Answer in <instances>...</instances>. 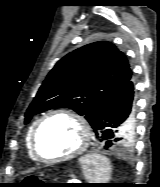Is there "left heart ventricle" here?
<instances>
[{
	"mask_svg": "<svg viewBox=\"0 0 160 187\" xmlns=\"http://www.w3.org/2000/svg\"><path fill=\"white\" fill-rule=\"evenodd\" d=\"M83 139L81 126L72 117L57 115L49 118L42 125L37 146L45 158H54L75 150Z\"/></svg>",
	"mask_w": 160,
	"mask_h": 187,
	"instance_id": "left-heart-ventricle-1",
	"label": "left heart ventricle"
}]
</instances>
